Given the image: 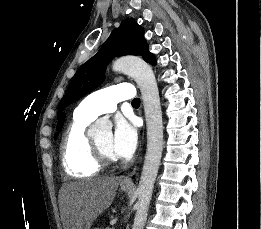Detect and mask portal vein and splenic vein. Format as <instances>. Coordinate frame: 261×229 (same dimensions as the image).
I'll return each instance as SVG.
<instances>
[{
	"instance_id": "18ae733b",
	"label": "portal vein and splenic vein",
	"mask_w": 261,
	"mask_h": 229,
	"mask_svg": "<svg viewBox=\"0 0 261 229\" xmlns=\"http://www.w3.org/2000/svg\"><path fill=\"white\" fill-rule=\"evenodd\" d=\"M110 229H115V227H114V226H111Z\"/></svg>"
}]
</instances>
